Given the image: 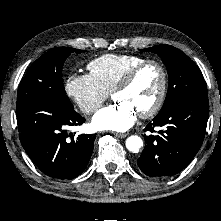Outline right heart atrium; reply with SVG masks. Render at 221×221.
Listing matches in <instances>:
<instances>
[{"label": "right heart atrium", "instance_id": "1", "mask_svg": "<svg viewBox=\"0 0 221 221\" xmlns=\"http://www.w3.org/2000/svg\"><path fill=\"white\" fill-rule=\"evenodd\" d=\"M65 91L86 115L95 112L109 97V92L91 74L69 75L65 83Z\"/></svg>", "mask_w": 221, "mask_h": 221}]
</instances>
